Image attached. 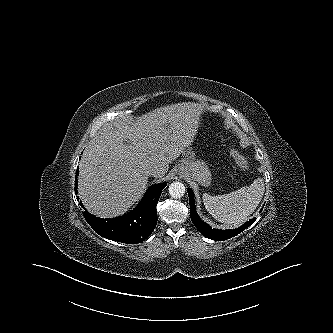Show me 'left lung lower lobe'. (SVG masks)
Segmentation results:
<instances>
[{
	"label": "left lung lower lobe",
	"mask_w": 333,
	"mask_h": 333,
	"mask_svg": "<svg viewBox=\"0 0 333 333\" xmlns=\"http://www.w3.org/2000/svg\"><path fill=\"white\" fill-rule=\"evenodd\" d=\"M188 195H189V202H190L191 220L194 223L195 227L201 232V234L209 239L217 240V241H223V240L230 239V238L238 235L242 231H244V229L248 228L256 220V218H253V219L249 220L248 222H246L245 224H243L238 229H233V230L212 229V227L207 225V223L202 221L199 218V216L197 215L195 202H194V198H193V192L191 189H188Z\"/></svg>",
	"instance_id": "1"
}]
</instances>
